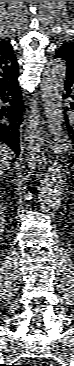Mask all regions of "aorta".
<instances>
[{
    "mask_svg": "<svg viewBox=\"0 0 74 366\" xmlns=\"http://www.w3.org/2000/svg\"><path fill=\"white\" fill-rule=\"evenodd\" d=\"M66 78V62L61 58L52 60L42 79V100L46 123L50 133L59 138L62 135V94ZM63 190L62 164L58 160L47 166L38 186L40 208L49 210L59 202Z\"/></svg>",
    "mask_w": 74,
    "mask_h": 366,
    "instance_id": "aorta-1",
    "label": "aorta"
}]
</instances>
